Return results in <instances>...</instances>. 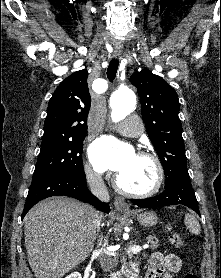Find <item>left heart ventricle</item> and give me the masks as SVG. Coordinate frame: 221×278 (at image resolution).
Instances as JSON below:
<instances>
[{
  "label": "left heart ventricle",
  "mask_w": 221,
  "mask_h": 278,
  "mask_svg": "<svg viewBox=\"0 0 221 278\" xmlns=\"http://www.w3.org/2000/svg\"><path fill=\"white\" fill-rule=\"evenodd\" d=\"M118 178L126 189L146 191L155 184L156 167L151 159L135 154Z\"/></svg>",
  "instance_id": "obj_1"
}]
</instances>
